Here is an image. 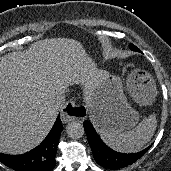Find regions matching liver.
Listing matches in <instances>:
<instances>
[{"instance_id":"obj_1","label":"liver","mask_w":171,"mask_h":171,"mask_svg":"<svg viewBox=\"0 0 171 171\" xmlns=\"http://www.w3.org/2000/svg\"><path fill=\"white\" fill-rule=\"evenodd\" d=\"M89 73L80 44L67 39L40 41L29 53L0 58V150L19 153L38 144L57 116L53 106L64 87L87 82L88 93L93 89ZM88 100L98 113L91 94Z\"/></svg>"}]
</instances>
